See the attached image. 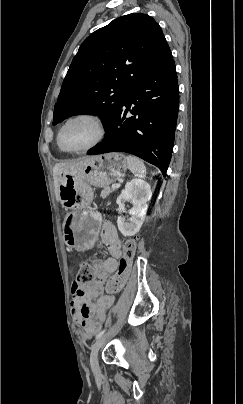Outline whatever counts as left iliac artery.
<instances>
[{
  "label": "left iliac artery",
  "instance_id": "1",
  "mask_svg": "<svg viewBox=\"0 0 243 404\" xmlns=\"http://www.w3.org/2000/svg\"><path fill=\"white\" fill-rule=\"evenodd\" d=\"M106 329L102 330L101 332H99L96 336V339L100 338L104 333H105Z\"/></svg>",
  "mask_w": 243,
  "mask_h": 404
}]
</instances>
